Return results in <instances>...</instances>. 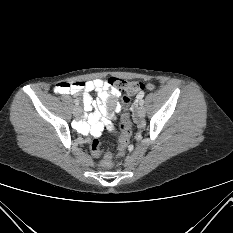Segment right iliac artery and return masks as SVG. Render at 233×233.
<instances>
[{"instance_id":"obj_1","label":"right iliac artery","mask_w":233,"mask_h":233,"mask_svg":"<svg viewBox=\"0 0 233 233\" xmlns=\"http://www.w3.org/2000/svg\"><path fill=\"white\" fill-rule=\"evenodd\" d=\"M75 105H79V101L77 99L74 100Z\"/></svg>"}]
</instances>
